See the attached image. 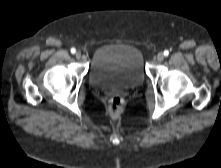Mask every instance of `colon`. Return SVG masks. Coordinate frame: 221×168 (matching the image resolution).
<instances>
[{
	"instance_id": "colon-1",
	"label": "colon",
	"mask_w": 221,
	"mask_h": 168,
	"mask_svg": "<svg viewBox=\"0 0 221 168\" xmlns=\"http://www.w3.org/2000/svg\"><path fill=\"white\" fill-rule=\"evenodd\" d=\"M123 98L122 96L115 94L109 100V111L111 114L116 115L122 111L123 108Z\"/></svg>"
}]
</instances>
